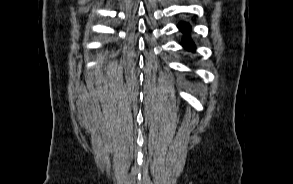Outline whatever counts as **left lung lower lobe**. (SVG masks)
Here are the masks:
<instances>
[{
    "label": "left lung lower lobe",
    "instance_id": "1",
    "mask_svg": "<svg viewBox=\"0 0 293 184\" xmlns=\"http://www.w3.org/2000/svg\"><path fill=\"white\" fill-rule=\"evenodd\" d=\"M178 27H179L180 30H182L186 34V36L184 37V43H183L185 48H187L189 50H194L195 46H194L193 42L188 39V36H187V33L190 30V26L188 24L180 23L178 25Z\"/></svg>",
    "mask_w": 293,
    "mask_h": 184
}]
</instances>
